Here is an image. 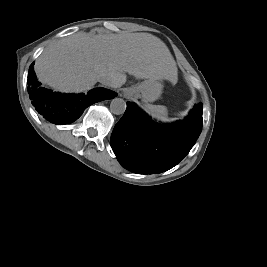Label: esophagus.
<instances>
[{
  "mask_svg": "<svg viewBox=\"0 0 267 267\" xmlns=\"http://www.w3.org/2000/svg\"><path fill=\"white\" fill-rule=\"evenodd\" d=\"M130 95H131V93H130L129 90H127V91L124 92V97H125V98H129Z\"/></svg>",
  "mask_w": 267,
  "mask_h": 267,
  "instance_id": "1",
  "label": "esophagus"
}]
</instances>
